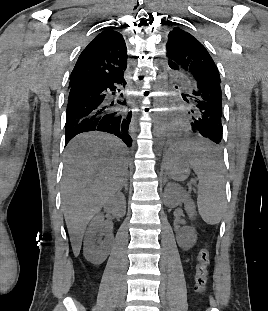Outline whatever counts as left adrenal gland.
Masks as SVG:
<instances>
[{"label":"left adrenal gland","mask_w":268,"mask_h":311,"mask_svg":"<svg viewBox=\"0 0 268 311\" xmlns=\"http://www.w3.org/2000/svg\"><path fill=\"white\" fill-rule=\"evenodd\" d=\"M166 182H167V178L165 177V178H164V184H165Z\"/></svg>","instance_id":"1"}]
</instances>
